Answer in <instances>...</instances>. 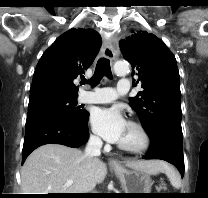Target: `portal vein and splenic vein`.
Listing matches in <instances>:
<instances>
[{"label":"portal vein and splenic vein","mask_w":208,"mask_h":198,"mask_svg":"<svg viewBox=\"0 0 208 198\" xmlns=\"http://www.w3.org/2000/svg\"><path fill=\"white\" fill-rule=\"evenodd\" d=\"M73 184L72 180H68L65 184L66 187L71 186Z\"/></svg>","instance_id":"obj_1"}]
</instances>
